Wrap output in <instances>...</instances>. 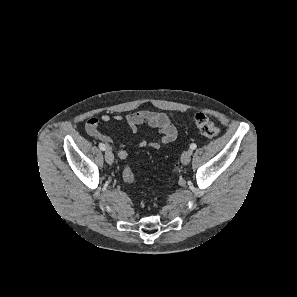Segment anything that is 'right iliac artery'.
<instances>
[{"mask_svg": "<svg viewBox=\"0 0 297 297\" xmlns=\"http://www.w3.org/2000/svg\"><path fill=\"white\" fill-rule=\"evenodd\" d=\"M99 148H100L102 151L106 150V146H105L103 143H100V144H99Z\"/></svg>", "mask_w": 297, "mask_h": 297, "instance_id": "right-iliac-artery-1", "label": "right iliac artery"}]
</instances>
